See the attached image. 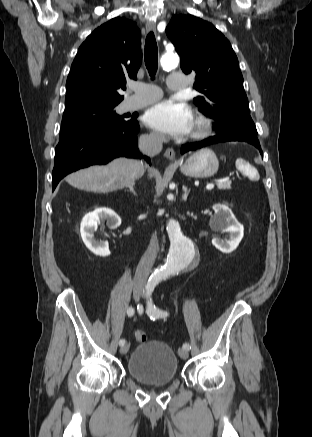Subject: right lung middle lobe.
I'll return each instance as SVG.
<instances>
[{"label": "right lung middle lobe", "mask_w": 312, "mask_h": 437, "mask_svg": "<svg viewBox=\"0 0 312 437\" xmlns=\"http://www.w3.org/2000/svg\"><path fill=\"white\" fill-rule=\"evenodd\" d=\"M117 104H85L66 108L62 118L59 142L99 129L125 124L124 116L116 114Z\"/></svg>", "instance_id": "dd1d6c3e"}]
</instances>
